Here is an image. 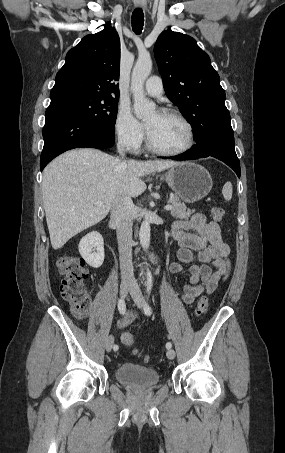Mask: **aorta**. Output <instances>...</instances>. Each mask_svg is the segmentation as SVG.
I'll return each mask as SVG.
<instances>
[{
  "mask_svg": "<svg viewBox=\"0 0 285 453\" xmlns=\"http://www.w3.org/2000/svg\"><path fill=\"white\" fill-rule=\"evenodd\" d=\"M152 70V60L150 56H139L131 75V92L134 99V111L138 118L144 119L152 115L155 111V103L147 99L144 95V82ZM150 223L144 220L139 231L141 246L147 250L150 245Z\"/></svg>",
  "mask_w": 285,
  "mask_h": 453,
  "instance_id": "obj_1",
  "label": "aorta"
}]
</instances>
